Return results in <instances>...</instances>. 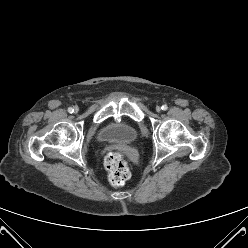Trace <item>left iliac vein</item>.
I'll list each match as a JSON object with an SVG mask.
<instances>
[{
	"label": "left iliac vein",
	"instance_id": "obj_1",
	"mask_svg": "<svg viewBox=\"0 0 248 248\" xmlns=\"http://www.w3.org/2000/svg\"><path fill=\"white\" fill-rule=\"evenodd\" d=\"M156 111L159 113L161 111V107L160 106H157L156 107Z\"/></svg>",
	"mask_w": 248,
	"mask_h": 248
}]
</instances>
